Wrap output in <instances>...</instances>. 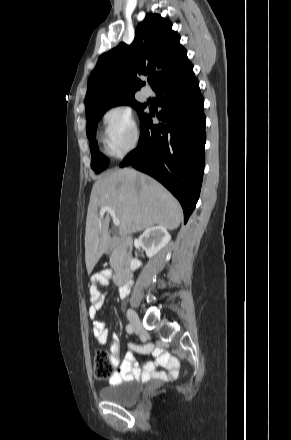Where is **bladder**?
<instances>
[{"label": "bladder", "mask_w": 291, "mask_h": 440, "mask_svg": "<svg viewBox=\"0 0 291 440\" xmlns=\"http://www.w3.org/2000/svg\"><path fill=\"white\" fill-rule=\"evenodd\" d=\"M103 400L114 404L129 406L137 403L142 395L141 383L137 380H126L99 390Z\"/></svg>", "instance_id": "31cf9c89"}]
</instances>
